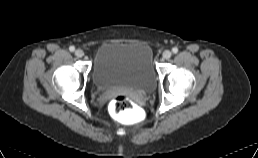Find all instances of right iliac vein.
Here are the masks:
<instances>
[{
  "instance_id": "obj_1",
  "label": "right iliac vein",
  "mask_w": 258,
  "mask_h": 158,
  "mask_svg": "<svg viewBox=\"0 0 258 158\" xmlns=\"http://www.w3.org/2000/svg\"><path fill=\"white\" fill-rule=\"evenodd\" d=\"M75 55H76L78 58H81V57H83V55H84V51H83L82 49H77V50L75 51Z\"/></svg>"
}]
</instances>
